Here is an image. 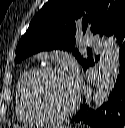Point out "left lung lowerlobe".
<instances>
[{
    "mask_svg": "<svg viewBox=\"0 0 125 128\" xmlns=\"http://www.w3.org/2000/svg\"><path fill=\"white\" fill-rule=\"evenodd\" d=\"M119 46V69L109 99L97 111L84 104L72 118L95 128H124L125 125V24L114 34Z\"/></svg>",
    "mask_w": 125,
    "mask_h": 128,
    "instance_id": "left-lung-lower-lobe-1",
    "label": "left lung lower lobe"
}]
</instances>
